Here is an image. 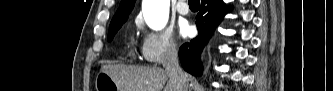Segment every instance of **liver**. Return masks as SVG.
Returning <instances> with one entry per match:
<instances>
[{
    "instance_id": "6515ba94",
    "label": "liver",
    "mask_w": 333,
    "mask_h": 91,
    "mask_svg": "<svg viewBox=\"0 0 333 91\" xmlns=\"http://www.w3.org/2000/svg\"><path fill=\"white\" fill-rule=\"evenodd\" d=\"M101 72L107 73L123 91H162L163 88L164 91H179L178 83L164 69L156 66L106 64L101 67ZM186 79L188 84L187 76Z\"/></svg>"
}]
</instances>
